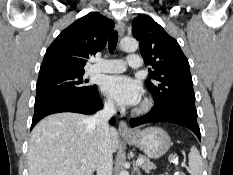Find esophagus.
<instances>
[{
    "mask_svg": "<svg viewBox=\"0 0 233 175\" xmlns=\"http://www.w3.org/2000/svg\"><path fill=\"white\" fill-rule=\"evenodd\" d=\"M116 28L119 32L120 36H123L124 31H125V24L123 21H118ZM118 131L121 135H130L132 131L128 127L127 123L125 121H120L118 125Z\"/></svg>",
    "mask_w": 233,
    "mask_h": 175,
    "instance_id": "esophagus-1",
    "label": "esophagus"
}]
</instances>
